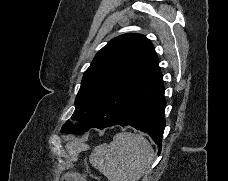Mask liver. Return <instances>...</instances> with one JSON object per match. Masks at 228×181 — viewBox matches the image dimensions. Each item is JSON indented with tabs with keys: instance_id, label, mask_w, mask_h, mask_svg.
I'll list each match as a JSON object with an SVG mask.
<instances>
[{
	"instance_id": "6515ba94",
	"label": "liver",
	"mask_w": 228,
	"mask_h": 181,
	"mask_svg": "<svg viewBox=\"0 0 228 181\" xmlns=\"http://www.w3.org/2000/svg\"><path fill=\"white\" fill-rule=\"evenodd\" d=\"M67 141H71V143H67L66 145V149L70 155L74 153L75 149H78V151H87V149H89V145H85L83 139H75V137H71V139H67Z\"/></svg>"
}]
</instances>
